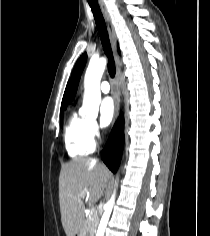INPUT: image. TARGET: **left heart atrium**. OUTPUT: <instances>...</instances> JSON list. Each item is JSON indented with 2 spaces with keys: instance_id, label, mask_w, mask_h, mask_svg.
<instances>
[{
  "instance_id": "obj_1",
  "label": "left heart atrium",
  "mask_w": 210,
  "mask_h": 236,
  "mask_svg": "<svg viewBox=\"0 0 210 236\" xmlns=\"http://www.w3.org/2000/svg\"><path fill=\"white\" fill-rule=\"evenodd\" d=\"M114 113L115 107L113 99L110 97L104 98L100 106L101 125L104 127L108 126L114 118Z\"/></svg>"
}]
</instances>
